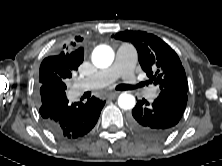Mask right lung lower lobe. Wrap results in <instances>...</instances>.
Returning <instances> with one entry per match:
<instances>
[{"mask_svg": "<svg viewBox=\"0 0 222 166\" xmlns=\"http://www.w3.org/2000/svg\"><path fill=\"white\" fill-rule=\"evenodd\" d=\"M38 102L44 125L60 139H75L87 134L95 126L105 104L94 96L85 103L69 104L65 89L51 83L40 85Z\"/></svg>", "mask_w": 222, "mask_h": 166, "instance_id": "right-lung-lower-lobe-1", "label": "right lung lower lobe"}]
</instances>
